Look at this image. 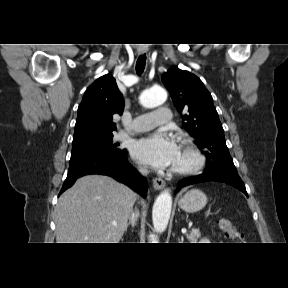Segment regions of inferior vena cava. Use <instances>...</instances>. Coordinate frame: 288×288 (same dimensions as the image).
<instances>
[{
    "label": "inferior vena cava",
    "mask_w": 288,
    "mask_h": 288,
    "mask_svg": "<svg viewBox=\"0 0 288 288\" xmlns=\"http://www.w3.org/2000/svg\"><path fill=\"white\" fill-rule=\"evenodd\" d=\"M139 172L142 174V175H147L149 173L148 171V168L146 166L144 167H139Z\"/></svg>",
    "instance_id": "602c4592"
}]
</instances>
